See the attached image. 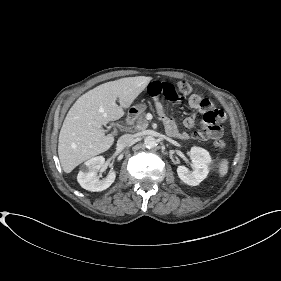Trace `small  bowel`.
I'll list each match as a JSON object with an SVG mask.
<instances>
[{
    "label": "small bowel",
    "mask_w": 281,
    "mask_h": 281,
    "mask_svg": "<svg viewBox=\"0 0 281 281\" xmlns=\"http://www.w3.org/2000/svg\"><path fill=\"white\" fill-rule=\"evenodd\" d=\"M188 104L191 108L199 111L209 110L213 106L212 102L209 99L204 98L198 94L191 95L188 99ZM155 105H156L157 112L164 123L165 130L168 135L182 140L189 139L190 137H197L199 131L194 132L192 134L179 131L176 126V123L166 115L165 108L162 102L157 101ZM183 124L188 129L193 128L195 126V115L192 114L187 118H185Z\"/></svg>",
    "instance_id": "obj_1"
}]
</instances>
